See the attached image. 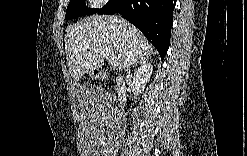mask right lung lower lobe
Returning a JSON list of instances; mask_svg holds the SVG:
<instances>
[{
  "label": "right lung lower lobe",
  "instance_id": "98d812e1",
  "mask_svg": "<svg viewBox=\"0 0 247 156\" xmlns=\"http://www.w3.org/2000/svg\"><path fill=\"white\" fill-rule=\"evenodd\" d=\"M174 0H109L98 14L120 13L155 46L161 58L170 44Z\"/></svg>",
  "mask_w": 247,
  "mask_h": 156
}]
</instances>
